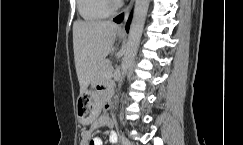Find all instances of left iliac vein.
Wrapping results in <instances>:
<instances>
[{"label":"left iliac vein","mask_w":243,"mask_h":145,"mask_svg":"<svg viewBox=\"0 0 243 145\" xmlns=\"http://www.w3.org/2000/svg\"><path fill=\"white\" fill-rule=\"evenodd\" d=\"M127 145H133L130 141H128Z\"/></svg>","instance_id":"obj_1"}]
</instances>
